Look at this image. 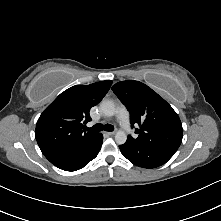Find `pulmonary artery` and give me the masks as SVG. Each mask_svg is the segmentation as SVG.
Wrapping results in <instances>:
<instances>
[{"mask_svg":"<svg viewBox=\"0 0 221 221\" xmlns=\"http://www.w3.org/2000/svg\"><path fill=\"white\" fill-rule=\"evenodd\" d=\"M117 119L122 126V128L128 132L131 133V126H130V118H129V112L124 106H118L117 108Z\"/></svg>","mask_w":221,"mask_h":221,"instance_id":"obj_1","label":"pulmonary artery"}]
</instances>
